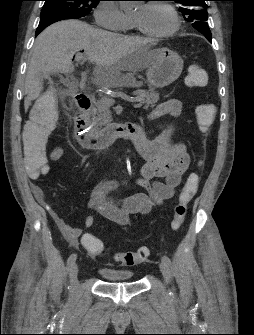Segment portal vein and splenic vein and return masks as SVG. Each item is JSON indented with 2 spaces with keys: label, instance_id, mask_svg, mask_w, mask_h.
<instances>
[{
  "label": "portal vein and splenic vein",
  "instance_id": "1",
  "mask_svg": "<svg viewBox=\"0 0 254 335\" xmlns=\"http://www.w3.org/2000/svg\"><path fill=\"white\" fill-rule=\"evenodd\" d=\"M83 58V55L81 53L76 54V59L80 61ZM102 101L107 106H112L115 104V99L110 96H103ZM134 108H140L142 106V103H140V100H134Z\"/></svg>",
  "mask_w": 254,
  "mask_h": 335
}]
</instances>
